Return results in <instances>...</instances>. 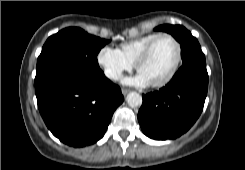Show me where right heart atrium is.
<instances>
[{"instance_id": "obj_1", "label": "right heart atrium", "mask_w": 245, "mask_h": 170, "mask_svg": "<svg viewBox=\"0 0 245 170\" xmlns=\"http://www.w3.org/2000/svg\"><path fill=\"white\" fill-rule=\"evenodd\" d=\"M97 61L103 67L104 74L113 80L118 79L123 72L133 67V63L124 56L121 50L110 46L100 49Z\"/></svg>"}]
</instances>
